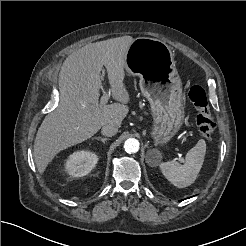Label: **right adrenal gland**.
<instances>
[{
	"label": "right adrenal gland",
	"mask_w": 246,
	"mask_h": 246,
	"mask_svg": "<svg viewBox=\"0 0 246 246\" xmlns=\"http://www.w3.org/2000/svg\"><path fill=\"white\" fill-rule=\"evenodd\" d=\"M93 140H100L102 143H105L109 140V138H103V137H93Z\"/></svg>",
	"instance_id": "1"
}]
</instances>
